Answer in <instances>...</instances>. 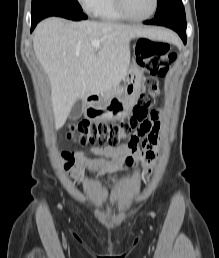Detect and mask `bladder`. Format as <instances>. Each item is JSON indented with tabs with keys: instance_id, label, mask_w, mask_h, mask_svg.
I'll list each match as a JSON object with an SVG mask.
<instances>
[{
	"instance_id": "31cf9c89",
	"label": "bladder",
	"mask_w": 219,
	"mask_h": 258,
	"mask_svg": "<svg viewBox=\"0 0 219 258\" xmlns=\"http://www.w3.org/2000/svg\"><path fill=\"white\" fill-rule=\"evenodd\" d=\"M119 185V178L118 177H115L111 182H110V189L111 188H114V187H116V186H118ZM109 189V193H110V190ZM105 203H109V201L107 200V201H105V202H103V204H105Z\"/></svg>"
}]
</instances>
